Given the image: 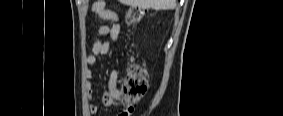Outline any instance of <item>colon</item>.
Returning <instances> with one entry per match:
<instances>
[{
    "label": "colon",
    "mask_w": 283,
    "mask_h": 116,
    "mask_svg": "<svg viewBox=\"0 0 283 116\" xmlns=\"http://www.w3.org/2000/svg\"><path fill=\"white\" fill-rule=\"evenodd\" d=\"M143 16L144 9L137 5L128 7L125 14L126 22L130 25L139 23ZM146 90V69L140 62L132 61L129 64L128 72L122 87L115 95L106 94L104 100L108 104L118 100L127 105V109H125L121 115L129 116L133 111L132 104L141 99V97L146 93Z\"/></svg>",
    "instance_id": "colon-1"
}]
</instances>
